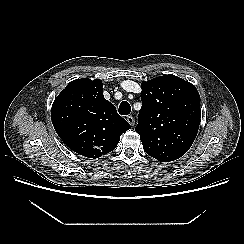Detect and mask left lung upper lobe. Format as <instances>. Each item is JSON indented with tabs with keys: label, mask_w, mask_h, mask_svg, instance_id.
Returning a JSON list of instances; mask_svg holds the SVG:
<instances>
[{
	"label": "left lung upper lobe",
	"mask_w": 244,
	"mask_h": 244,
	"mask_svg": "<svg viewBox=\"0 0 244 244\" xmlns=\"http://www.w3.org/2000/svg\"><path fill=\"white\" fill-rule=\"evenodd\" d=\"M142 108L135 130L144 151L161 162L183 156L200 125L196 87L175 75L156 77L141 85Z\"/></svg>",
	"instance_id": "1"
}]
</instances>
